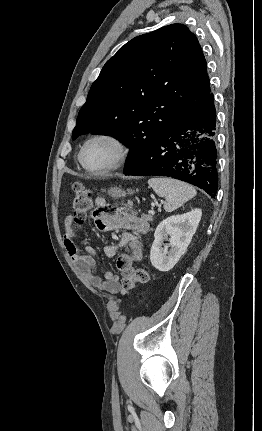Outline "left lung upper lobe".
I'll list each match as a JSON object with an SVG mask.
<instances>
[{
    "mask_svg": "<svg viewBox=\"0 0 262 431\" xmlns=\"http://www.w3.org/2000/svg\"><path fill=\"white\" fill-rule=\"evenodd\" d=\"M209 93L196 36L182 24L162 27L130 40L106 62L72 140L87 132L117 138L130 148L128 170Z\"/></svg>",
    "mask_w": 262,
    "mask_h": 431,
    "instance_id": "obj_1",
    "label": "left lung upper lobe"
}]
</instances>
